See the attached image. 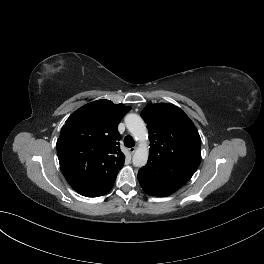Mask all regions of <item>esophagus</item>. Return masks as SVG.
I'll use <instances>...</instances> for the list:
<instances>
[{
    "label": "esophagus",
    "mask_w": 264,
    "mask_h": 264,
    "mask_svg": "<svg viewBox=\"0 0 264 264\" xmlns=\"http://www.w3.org/2000/svg\"><path fill=\"white\" fill-rule=\"evenodd\" d=\"M128 150H129V152H130L131 154H133V153L136 151V148H135V147H131V148H129Z\"/></svg>",
    "instance_id": "34e87169"
}]
</instances>
